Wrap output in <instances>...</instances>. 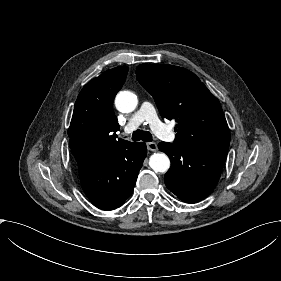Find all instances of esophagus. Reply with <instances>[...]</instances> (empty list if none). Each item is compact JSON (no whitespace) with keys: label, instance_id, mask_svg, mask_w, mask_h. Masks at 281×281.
Returning a JSON list of instances; mask_svg holds the SVG:
<instances>
[{"label":"esophagus","instance_id":"esophagus-1","mask_svg":"<svg viewBox=\"0 0 281 281\" xmlns=\"http://www.w3.org/2000/svg\"><path fill=\"white\" fill-rule=\"evenodd\" d=\"M146 146L150 151H157L158 149L157 144L155 142H148Z\"/></svg>","mask_w":281,"mask_h":281}]
</instances>
